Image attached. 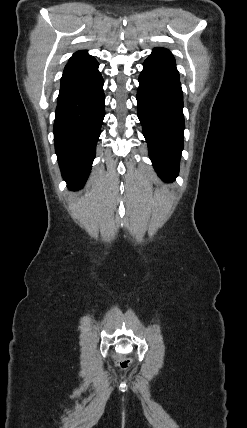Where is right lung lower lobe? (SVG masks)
Instances as JSON below:
<instances>
[{
	"instance_id": "1",
	"label": "right lung lower lobe",
	"mask_w": 247,
	"mask_h": 428,
	"mask_svg": "<svg viewBox=\"0 0 247 428\" xmlns=\"http://www.w3.org/2000/svg\"><path fill=\"white\" fill-rule=\"evenodd\" d=\"M92 56L68 63L61 78L54 122L55 151L71 190L83 187L104 118V80Z\"/></svg>"
}]
</instances>
